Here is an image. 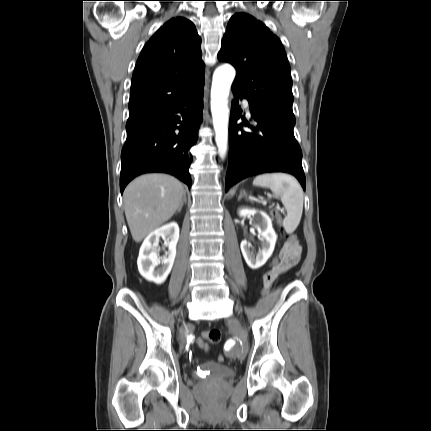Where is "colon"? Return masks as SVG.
I'll return each mask as SVG.
<instances>
[{
	"label": "colon",
	"instance_id": "colon-1",
	"mask_svg": "<svg viewBox=\"0 0 431 431\" xmlns=\"http://www.w3.org/2000/svg\"><path fill=\"white\" fill-rule=\"evenodd\" d=\"M280 232H282L281 233V236L282 237H285V240H293V236H296V235H287V232H284V227H280ZM280 256H282V254H279V255H274V259H270L269 260V265L271 266V263H277V259H280ZM202 337H203V339L201 340V338H196V343H197V349H199V350H203V349H205L204 351H205V353H210V348H208V346H207V343L205 342V341H207V342H210V343H213V344H216V343H218V342H220V340H221V332H220V330L219 329H216V328H214V329H210V330H207V331H205V332H203V335H202ZM219 360H220V363H224V357L223 356H220L219 357Z\"/></svg>",
	"mask_w": 431,
	"mask_h": 431
}]
</instances>
